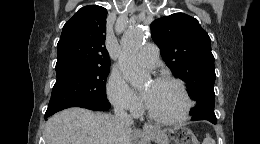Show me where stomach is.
<instances>
[{
  "mask_svg": "<svg viewBox=\"0 0 260 144\" xmlns=\"http://www.w3.org/2000/svg\"><path fill=\"white\" fill-rule=\"evenodd\" d=\"M148 136L156 144H199L194 133L183 126L153 128L148 131Z\"/></svg>",
  "mask_w": 260,
  "mask_h": 144,
  "instance_id": "0dacf381",
  "label": "stomach"
}]
</instances>
